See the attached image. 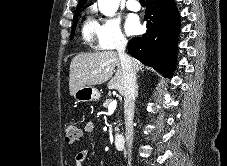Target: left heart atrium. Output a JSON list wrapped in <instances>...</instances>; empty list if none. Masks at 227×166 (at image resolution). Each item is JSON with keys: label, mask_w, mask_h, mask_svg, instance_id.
<instances>
[{"label": "left heart atrium", "mask_w": 227, "mask_h": 166, "mask_svg": "<svg viewBox=\"0 0 227 166\" xmlns=\"http://www.w3.org/2000/svg\"><path fill=\"white\" fill-rule=\"evenodd\" d=\"M126 31L129 34H136L140 31V24L135 16H129L126 20Z\"/></svg>", "instance_id": "1"}]
</instances>
